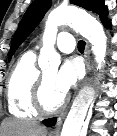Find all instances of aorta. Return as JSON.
<instances>
[{"mask_svg":"<svg viewBox=\"0 0 117 136\" xmlns=\"http://www.w3.org/2000/svg\"><path fill=\"white\" fill-rule=\"evenodd\" d=\"M66 23L89 40L100 69L105 62L107 48V37L103 26L95 18L74 8H56L48 15L43 34V47L40 52L39 66L42 69L58 68L60 56L55 51L54 44L58 26ZM93 98L94 90L92 88L84 89L79 93L64 122L60 136H80L81 128Z\"/></svg>","mask_w":117,"mask_h":136,"instance_id":"762f6f07","label":"aorta"}]
</instances>
